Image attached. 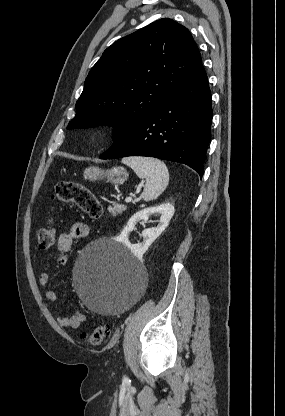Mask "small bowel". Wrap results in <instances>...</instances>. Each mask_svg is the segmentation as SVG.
I'll return each instance as SVG.
<instances>
[{
	"label": "small bowel",
	"instance_id": "1",
	"mask_svg": "<svg viewBox=\"0 0 285 416\" xmlns=\"http://www.w3.org/2000/svg\"><path fill=\"white\" fill-rule=\"evenodd\" d=\"M90 229L87 223L77 221L72 224L70 230L59 236L57 242L58 263L63 265L66 263V254L71 250L76 240L84 239L89 235ZM39 282L42 287L47 288L50 282V276L47 272H43L39 276ZM46 299L50 303L57 301V294L51 289H47L45 293ZM86 321V316L79 310H75L71 315H61L57 318L60 326L66 328H78Z\"/></svg>",
	"mask_w": 285,
	"mask_h": 416
}]
</instances>
